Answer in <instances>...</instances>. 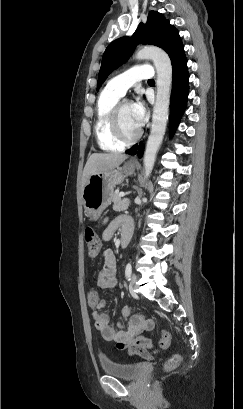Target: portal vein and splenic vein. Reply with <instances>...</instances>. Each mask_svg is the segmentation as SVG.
<instances>
[{
	"instance_id": "1",
	"label": "portal vein and splenic vein",
	"mask_w": 243,
	"mask_h": 409,
	"mask_svg": "<svg viewBox=\"0 0 243 409\" xmlns=\"http://www.w3.org/2000/svg\"><path fill=\"white\" fill-rule=\"evenodd\" d=\"M119 195H120L121 197H123V196L126 195V193L121 192Z\"/></svg>"
}]
</instances>
